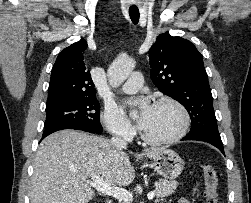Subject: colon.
<instances>
[{"label": "colon", "mask_w": 251, "mask_h": 203, "mask_svg": "<svg viewBox=\"0 0 251 203\" xmlns=\"http://www.w3.org/2000/svg\"><path fill=\"white\" fill-rule=\"evenodd\" d=\"M201 171L204 179L205 203H219L218 198V173L210 162L201 164Z\"/></svg>", "instance_id": "obj_1"}]
</instances>
